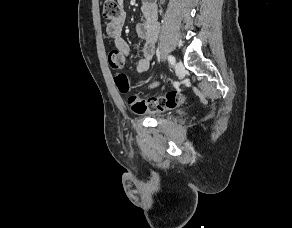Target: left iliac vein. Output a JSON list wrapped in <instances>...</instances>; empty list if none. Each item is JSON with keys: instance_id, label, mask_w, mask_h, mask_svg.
<instances>
[{"instance_id": "left-iliac-vein-1", "label": "left iliac vein", "mask_w": 292, "mask_h": 228, "mask_svg": "<svg viewBox=\"0 0 292 228\" xmlns=\"http://www.w3.org/2000/svg\"><path fill=\"white\" fill-rule=\"evenodd\" d=\"M175 70H176V74L178 75V77L180 79H183L185 76V68L182 62H177L175 64Z\"/></svg>"}]
</instances>
